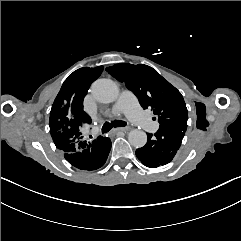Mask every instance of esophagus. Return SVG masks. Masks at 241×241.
Listing matches in <instances>:
<instances>
[{
  "mask_svg": "<svg viewBox=\"0 0 241 241\" xmlns=\"http://www.w3.org/2000/svg\"><path fill=\"white\" fill-rule=\"evenodd\" d=\"M127 130H128L127 127H120V128L114 129L112 132H113V133H116V132H118V131H127Z\"/></svg>",
  "mask_w": 241,
  "mask_h": 241,
  "instance_id": "esophagus-1",
  "label": "esophagus"
}]
</instances>
